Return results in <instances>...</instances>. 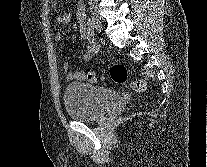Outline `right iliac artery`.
<instances>
[{
	"instance_id": "1",
	"label": "right iliac artery",
	"mask_w": 207,
	"mask_h": 167,
	"mask_svg": "<svg viewBox=\"0 0 207 167\" xmlns=\"http://www.w3.org/2000/svg\"><path fill=\"white\" fill-rule=\"evenodd\" d=\"M87 30L91 34V36L94 35V26L92 23V19H90V18L87 21Z\"/></svg>"
}]
</instances>
